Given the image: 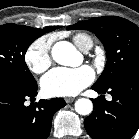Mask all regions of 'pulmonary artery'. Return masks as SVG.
Listing matches in <instances>:
<instances>
[{"mask_svg":"<svg viewBox=\"0 0 139 139\" xmlns=\"http://www.w3.org/2000/svg\"><path fill=\"white\" fill-rule=\"evenodd\" d=\"M91 49V47H88L86 50H84L85 52H87L88 50H90Z\"/></svg>","mask_w":139,"mask_h":139,"instance_id":"e3ab8cb5","label":"pulmonary artery"}]
</instances>
